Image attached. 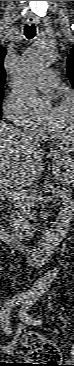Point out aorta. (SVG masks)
Here are the masks:
<instances>
[{"mask_svg": "<svg viewBox=\"0 0 74 366\" xmlns=\"http://www.w3.org/2000/svg\"><path fill=\"white\" fill-rule=\"evenodd\" d=\"M56 59V47L44 41H36L18 62L12 82L13 89L37 113L42 112L48 104V100L37 92V77L52 66Z\"/></svg>", "mask_w": 74, "mask_h": 366, "instance_id": "762f6f07", "label": "aorta"}]
</instances>
